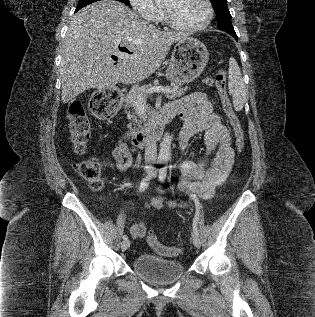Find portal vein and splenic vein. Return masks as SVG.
<instances>
[{
	"mask_svg": "<svg viewBox=\"0 0 315 317\" xmlns=\"http://www.w3.org/2000/svg\"><path fill=\"white\" fill-rule=\"evenodd\" d=\"M171 91L170 88H167V87H154V88H151L149 89V91L147 92L148 94H151V93H154V92H163V93H169ZM140 102H143L142 101V98L140 97L139 98Z\"/></svg>",
	"mask_w": 315,
	"mask_h": 317,
	"instance_id": "obj_1",
	"label": "portal vein and splenic vein"
}]
</instances>
